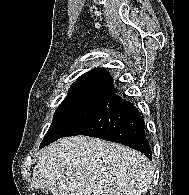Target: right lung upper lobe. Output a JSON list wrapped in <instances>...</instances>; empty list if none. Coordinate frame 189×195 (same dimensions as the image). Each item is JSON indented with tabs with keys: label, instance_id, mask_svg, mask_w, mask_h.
I'll return each mask as SVG.
<instances>
[{
	"label": "right lung upper lobe",
	"instance_id": "cb5924a9",
	"mask_svg": "<svg viewBox=\"0 0 189 195\" xmlns=\"http://www.w3.org/2000/svg\"><path fill=\"white\" fill-rule=\"evenodd\" d=\"M69 92H91L112 95L117 92L113 79L105 69H93L81 75L71 86Z\"/></svg>",
	"mask_w": 189,
	"mask_h": 195
}]
</instances>
